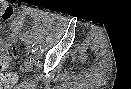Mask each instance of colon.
<instances>
[{"label": "colon", "mask_w": 131, "mask_h": 89, "mask_svg": "<svg viewBox=\"0 0 131 89\" xmlns=\"http://www.w3.org/2000/svg\"><path fill=\"white\" fill-rule=\"evenodd\" d=\"M24 50L22 43H15L0 51V89L12 87L17 82V76L12 72H6V68L17 56L22 55Z\"/></svg>", "instance_id": "1"}]
</instances>
